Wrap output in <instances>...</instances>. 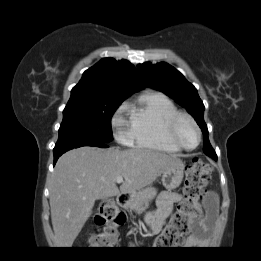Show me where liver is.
<instances>
[{
    "label": "liver",
    "instance_id": "obj_1",
    "mask_svg": "<svg viewBox=\"0 0 261 261\" xmlns=\"http://www.w3.org/2000/svg\"><path fill=\"white\" fill-rule=\"evenodd\" d=\"M180 162L176 155L148 149L81 147L57 161L50 185L51 221L57 245L69 248L97 199L135 195ZM124 181L118 189L116 179Z\"/></svg>",
    "mask_w": 261,
    "mask_h": 261
}]
</instances>
